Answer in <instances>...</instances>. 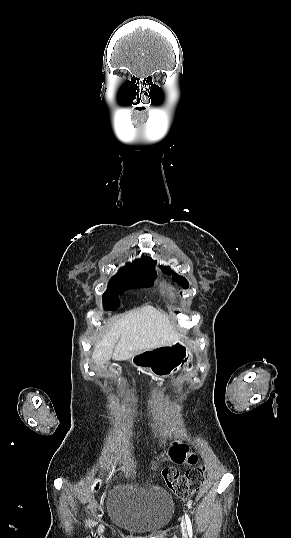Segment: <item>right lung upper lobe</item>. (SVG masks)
<instances>
[{
	"instance_id": "right-lung-upper-lobe-1",
	"label": "right lung upper lobe",
	"mask_w": 291,
	"mask_h": 538,
	"mask_svg": "<svg viewBox=\"0 0 291 538\" xmlns=\"http://www.w3.org/2000/svg\"><path fill=\"white\" fill-rule=\"evenodd\" d=\"M141 261H146V262H153V263H156V261H153L150 257L148 256H143L142 258L140 259H136L135 262H141Z\"/></svg>"
}]
</instances>
